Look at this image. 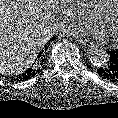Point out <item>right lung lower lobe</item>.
I'll list each match as a JSON object with an SVG mask.
<instances>
[{
	"mask_svg": "<svg viewBox=\"0 0 118 118\" xmlns=\"http://www.w3.org/2000/svg\"><path fill=\"white\" fill-rule=\"evenodd\" d=\"M41 57V54L38 55L39 60L37 61L38 65H42L43 63V59ZM38 72V69L36 68V66L34 68H29L28 70L25 71V73H23L21 76H19L17 78V80H28L31 77L35 76ZM15 79V78H14Z\"/></svg>",
	"mask_w": 118,
	"mask_h": 118,
	"instance_id": "obj_1",
	"label": "right lung lower lobe"
}]
</instances>
